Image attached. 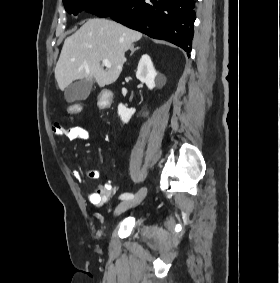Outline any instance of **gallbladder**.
Wrapping results in <instances>:
<instances>
[{"label":"gallbladder","mask_w":280,"mask_h":283,"mask_svg":"<svg viewBox=\"0 0 280 283\" xmlns=\"http://www.w3.org/2000/svg\"><path fill=\"white\" fill-rule=\"evenodd\" d=\"M92 86L93 80L91 79H84L71 83L65 90V99L69 103L85 100L89 96Z\"/></svg>","instance_id":"bac80fb5"}]
</instances>
